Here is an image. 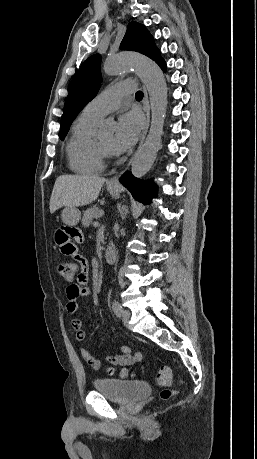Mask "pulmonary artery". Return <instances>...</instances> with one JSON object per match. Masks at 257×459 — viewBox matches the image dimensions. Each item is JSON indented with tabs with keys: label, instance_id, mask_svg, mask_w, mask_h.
<instances>
[{
	"label": "pulmonary artery",
	"instance_id": "1",
	"mask_svg": "<svg viewBox=\"0 0 257 459\" xmlns=\"http://www.w3.org/2000/svg\"><path fill=\"white\" fill-rule=\"evenodd\" d=\"M133 86V80H123L107 87L87 104L83 113L97 119L103 118L120 106L123 97L131 95L134 91Z\"/></svg>",
	"mask_w": 257,
	"mask_h": 459
}]
</instances>
